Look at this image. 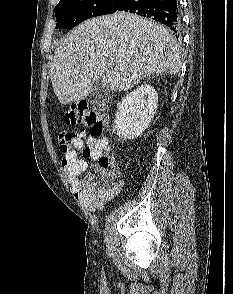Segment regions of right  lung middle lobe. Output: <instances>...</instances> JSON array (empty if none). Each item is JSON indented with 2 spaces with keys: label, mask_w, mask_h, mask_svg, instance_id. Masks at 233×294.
<instances>
[{
  "label": "right lung middle lobe",
  "mask_w": 233,
  "mask_h": 294,
  "mask_svg": "<svg viewBox=\"0 0 233 294\" xmlns=\"http://www.w3.org/2000/svg\"><path fill=\"white\" fill-rule=\"evenodd\" d=\"M124 0H60L55 7L56 28L72 29L92 17L112 14Z\"/></svg>",
  "instance_id": "1"
}]
</instances>
